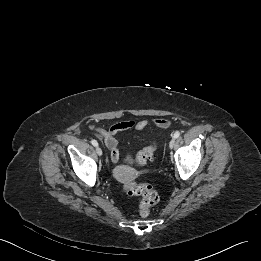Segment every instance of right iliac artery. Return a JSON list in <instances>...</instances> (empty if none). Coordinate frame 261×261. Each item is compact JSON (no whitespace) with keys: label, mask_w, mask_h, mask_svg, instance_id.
Here are the masks:
<instances>
[{"label":"right iliac artery","mask_w":261,"mask_h":261,"mask_svg":"<svg viewBox=\"0 0 261 261\" xmlns=\"http://www.w3.org/2000/svg\"><path fill=\"white\" fill-rule=\"evenodd\" d=\"M91 143H92V145L95 146V147L98 146V142H97L96 140H91Z\"/></svg>","instance_id":"82829eb1"}]
</instances>
